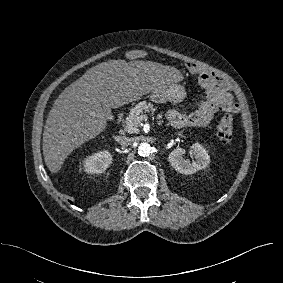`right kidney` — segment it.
Instances as JSON below:
<instances>
[{
  "label": "right kidney",
  "mask_w": 283,
  "mask_h": 283,
  "mask_svg": "<svg viewBox=\"0 0 283 283\" xmlns=\"http://www.w3.org/2000/svg\"><path fill=\"white\" fill-rule=\"evenodd\" d=\"M112 162V155L108 151L94 153L83 161L84 170L87 173H103Z\"/></svg>",
  "instance_id": "ca27d5eb"
}]
</instances>
